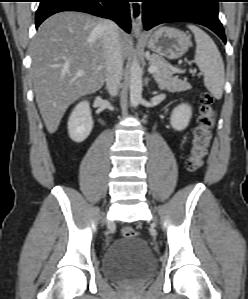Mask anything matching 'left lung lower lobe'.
<instances>
[{"mask_svg": "<svg viewBox=\"0 0 248 299\" xmlns=\"http://www.w3.org/2000/svg\"><path fill=\"white\" fill-rule=\"evenodd\" d=\"M218 2L219 0H144V28L149 30L167 22H192L208 27L226 43L224 29L218 18Z\"/></svg>", "mask_w": 248, "mask_h": 299, "instance_id": "left-lung-lower-lobe-1", "label": "left lung lower lobe"}]
</instances>
